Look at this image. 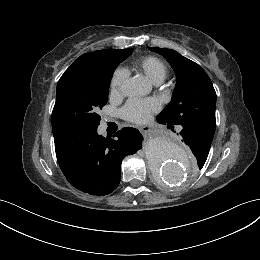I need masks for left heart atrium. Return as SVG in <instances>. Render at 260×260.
Segmentation results:
<instances>
[{
	"label": "left heart atrium",
	"mask_w": 260,
	"mask_h": 260,
	"mask_svg": "<svg viewBox=\"0 0 260 260\" xmlns=\"http://www.w3.org/2000/svg\"><path fill=\"white\" fill-rule=\"evenodd\" d=\"M157 109L153 100L131 99L122 109L123 117L134 123L146 122Z\"/></svg>",
	"instance_id": "1"
}]
</instances>
